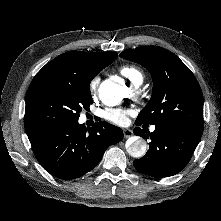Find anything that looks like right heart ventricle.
I'll return each instance as SVG.
<instances>
[{"label": "right heart ventricle", "instance_id": "1", "mask_svg": "<svg viewBox=\"0 0 221 221\" xmlns=\"http://www.w3.org/2000/svg\"><path fill=\"white\" fill-rule=\"evenodd\" d=\"M120 73L126 77L132 84L139 86L144 79L143 72L136 66L123 65L119 69Z\"/></svg>", "mask_w": 221, "mask_h": 221}]
</instances>
